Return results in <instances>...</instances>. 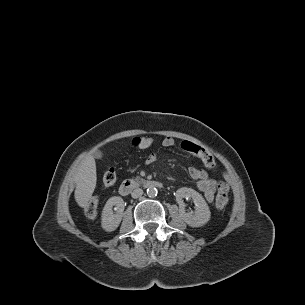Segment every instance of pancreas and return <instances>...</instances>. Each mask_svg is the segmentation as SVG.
<instances>
[{
	"mask_svg": "<svg viewBox=\"0 0 305 305\" xmlns=\"http://www.w3.org/2000/svg\"><path fill=\"white\" fill-rule=\"evenodd\" d=\"M135 181L138 182V183H140V182L143 181V179H142L141 177L138 176V177H136Z\"/></svg>",
	"mask_w": 305,
	"mask_h": 305,
	"instance_id": "obj_1",
	"label": "pancreas"
}]
</instances>
